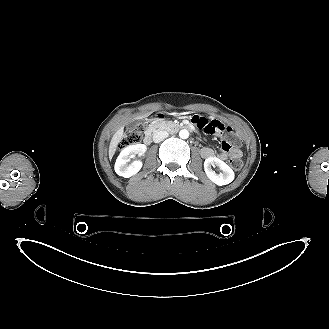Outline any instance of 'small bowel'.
Masks as SVG:
<instances>
[{
    "label": "small bowel",
    "instance_id": "c3829d8e",
    "mask_svg": "<svg viewBox=\"0 0 329 329\" xmlns=\"http://www.w3.org/2000/svg\"><path fill=\"white\" fill-rule=\"evenodd\" d=\"M191 122L195 128L203 131L205 135H218L223 130L227 128V123L225 121H219L218 119H213L203 116L201 114L193 115L191 117ZM226 132H229V129H226ZM223 136H226V133H223ZM202 155L205 158H213L215 152L210 147H204L202 149ZM242 155L239 149H224L220 154L219 158L221 160H226L228 157H240Z\"/></svg>",
    "mask_w": 329,
    "mask_h": 329
}]
</instances>
